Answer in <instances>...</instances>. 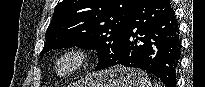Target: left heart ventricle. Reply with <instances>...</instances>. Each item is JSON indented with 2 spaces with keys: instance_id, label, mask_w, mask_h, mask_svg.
<instances>
[{
  "instance_id": "obj_1",
  "label": "left heart ventricle",
  "mask_w": 205,
  "mask_h": 87,
  "mask_svg": "<svg viewBox=\"0 0 205 87\" xmlns=\"http://www.w3.org/2000/svg\"><path fill=\"white\" fill-rule=\"evenodd\" d=\"M68 64H69L68 61H64V62L61 63L60 68L64 69Z\"/></svg>"
}]
</instances>
